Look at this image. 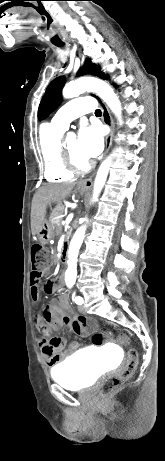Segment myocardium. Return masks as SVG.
Returning a JSON list of instances; mask_svg holds the SVG:
<instances>
[{"mask_svg": "<svg viewBox=\"0 0 165 461\" xmlns=\"http://www.w3.org/2000/svg\"><path fill=\"white\" fill-rule=\"evenodd\" d=\"M60 152L64 167L72 174H83L90 170L92 164L88 161L83 164L77 163L66 148L65 143H60Z\"/></svg>", "mask_w": 165, "mask_h": 461, "instance_id": "f54148a6", "label": "myocardium"}]
</instances>
